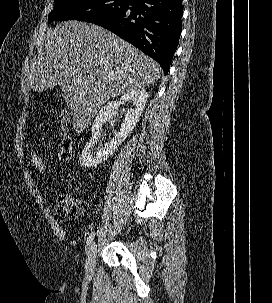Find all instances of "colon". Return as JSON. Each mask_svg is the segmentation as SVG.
Instances as JSON below:
<instances>
[{
    "mask_svg": "<svg viewBox=\"0 0 272 303\" xmlns=\"http://www.w3.org/2000/svg\"><path fill=\"white\" fill-rule=\"evenodd\" d=\"M60 130V157L65 162H70L74 157L73 141L68 127V116L62 115L59 120ZM30 165L34 175L44 176L47 171V163L39 151H33L30 156ZM84 203L82 200L69 196L62 195L58 198L56 203V211L59 215L71 219L79 218L84 211Z\"/></svg>",
    "mask_w": 272,
    "mask_h": 303,
    "instance_id": "colon-1",
    "label": "colon"
}]
</instances>
